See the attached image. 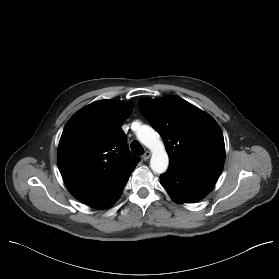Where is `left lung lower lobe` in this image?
Returning a JSON list of instances; mask_svg holds the SVG:
<instances>
[{"mask_svg": "<svg viewBox=\"0 0 279 279\" xmlns=\"http://www.w3.org/2000/svg\"><path fill=\"white\" fill-rule=\"evenodd\" d=\"M218 176L201 175L169 167L160 175L161 185L179 203L197 202L213 188Z\"/></svg>", "mask_w": 279, "mask_h": 279, "instance_id": "1", "label": "left lung lower lobe"}]
</instances>
